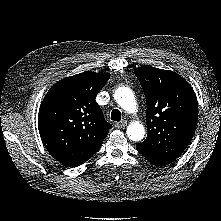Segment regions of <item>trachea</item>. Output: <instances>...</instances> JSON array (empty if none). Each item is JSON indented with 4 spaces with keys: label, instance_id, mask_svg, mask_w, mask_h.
<instances>
[{
    "label": "trachea",
    "instance_id": "trachea-1",
    "mask_svg": "<svg viewBox=\"0 0 221 221\" xmlns=\"http://www.w3.org/2000/svg\"><path fill=\"white\" fill-rule=\"evenodd\" d=\"M111 120H113V121H120L121 120V112L118 109L112 110Z\"/></svg>",
    "mask_w": 221,
    "mask_h": 221
}]
</instances>
